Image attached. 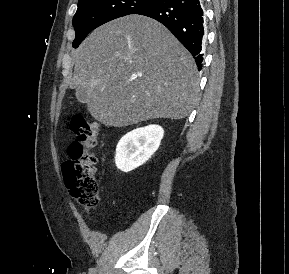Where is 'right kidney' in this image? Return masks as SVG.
Instances as JSON below:
<instances>
[{
	"instance_id": "obj_1",
	"label": "right kidney",
	"mask_w": 289,
	"mask_h": 274,
	"mask_svg": "<svg viewBox=\"0 0 289 274\" xmlns=\"http://www.w3.org/2000/svg\"><path fill=\"white\" fill-rule=\"evenodd\" d=\"M164 130L159 125H148L125 134L117 144L115 164L129 172L144 164L159 148Z\"/></svg>"
}]
</instances>
